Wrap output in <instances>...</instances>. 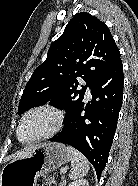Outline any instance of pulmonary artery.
Segmentation results:
<instances>
[{"label": "pulmonary artery", "mask_w": 138, "mask_h": 186, "mask_svg": "<svg viewBox=\"0 0 138 186\" xmlns=\"http://www.w3.org/2000/svg\"><path fill=\"white\" fill-rule=\"evenodd\" d=\"M82 85H83V86L85 85V82H84V81L82 82ZM86 96H87V97L90 96V89H89V87H87V89H86Z\"/></svg>", "instance_id": "pulmonary-artery-1"}]
</instances>
